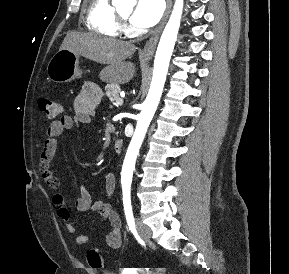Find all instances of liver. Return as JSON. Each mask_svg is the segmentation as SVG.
<instances>
[{
	"label": "liver",
	"mask_w": 289,
	"mask_h": 274,
	"mask_svg": "<svg viewBox=\"0 0 289 274\" xmlns=\"http://www.w3.org/2000/svg\"><path fill=\"white\" fill-rule=\"evenodd\" d=\"M60 49H68L78 55L105 64L100 77L112 84H125L135 75V65L125 60L136 50V46L111 38L98 37L93 33L70 32Z\"/></svg>",
	"instance_id": "liver-1"
}]
</instances>
